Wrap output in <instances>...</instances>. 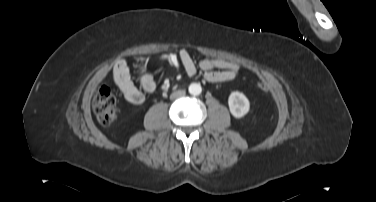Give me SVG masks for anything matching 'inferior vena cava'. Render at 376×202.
Masks as SVG:
<instances>
[{"instance_id":"1","label":"inferior vena cava","mask_w":376,"mask_h":202,"mask_svg":"<svg viewBox=\"0 0 376 202\" xmlns=\"http://www.w3.org/2000/svg\"><path fill=\"white\" fill-rule=\"evenodd\" d=\"M184 95H185V91L184 90H179V91L174 92L171 95V99L179 98V97H182Z\"/></svg>"}]
</instances>
